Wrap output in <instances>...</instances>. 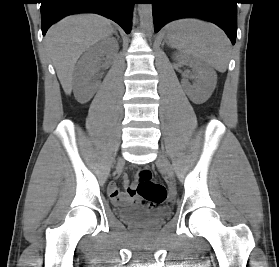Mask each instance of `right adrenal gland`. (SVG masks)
<instances>
[{"label":"right adrenal gland","mask_w":279,"mask_h":267,"mask_svg":"<svg viewBox=\"0 0 279 267\" xmlns=\"http://www.w3.org/2000/svg\"><path fill=\"white\" fill-rule=\"evenodd\" d=\"M113 33L116 35L117 39H119V35H118L117 31L114 30Z\"/></svg>","instance_id":"obj_1"}]
</instances>
